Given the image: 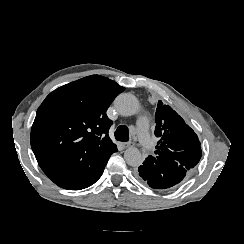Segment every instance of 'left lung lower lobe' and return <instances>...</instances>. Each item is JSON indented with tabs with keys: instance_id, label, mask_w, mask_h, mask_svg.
I'll return each mask as SVG.
<instances>
[{
	"instance_id": "obj_1",
	"label": "left lung lower lobe",
	"mask_w": 244,
	"mask_h": 244,
	"mask_svg": "<svg viewBox=\"0 0 244 244\" xmlns=\"http://www.w3.org/2000/svg\"><path fill=\"white\" fill-rule=\"evenodd\" d=\"M187 171L171 159L148 156L139 167L137 179L154 189H165L180 183Z\"/></svg>"
}]
</instances>
